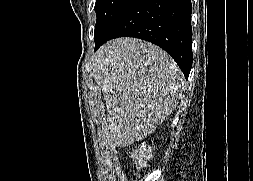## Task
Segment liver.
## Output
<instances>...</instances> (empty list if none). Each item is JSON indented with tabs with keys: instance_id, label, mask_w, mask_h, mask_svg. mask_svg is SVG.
I'll return each mask as SVG.
<instances>
[{
	"instance_id": "1",
	"label": "liver",
	"mask_w": 253,
	"mask_h": 181,
	"mask_svg": "<svg viewBox=\"0 0 253 181\" xmlns=\"http://www.w3.org/2000/svg\"><path fill=\"white\" fill-rule=\"evenodd\" d=\"M91 61L104 95L103 127L112 145L124 147L149 136L177 106L183 76L158 46L119 38L103 45Z\"/></svg>"
}]
</instances>
